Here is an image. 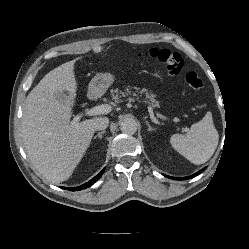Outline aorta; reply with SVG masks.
Listing matches in <instances>:
<instances>
[{
	"label": "aorta",
	"mask_w": 249,
	"mask_h": 249,
	"mask_svg": "<svg viewBox=\"0 0 249 249\" xmlns=\"http://www.w3.org/2000/svg\"><path fill=\"white\" fill-rule=\"evenodd\" d=\"M120 129L125 134H134L137 131V123L131 118L124 119L121 122Z\"/></svg>",
	"instance_id": "1"
}]
</instances>
